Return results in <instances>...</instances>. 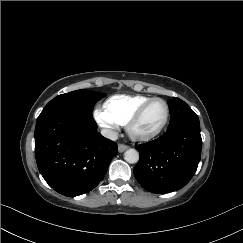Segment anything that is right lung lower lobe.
Segmentation results:
<instances>
[{
	"label": "right lung lower lobe",
	"instance_id": "obj_1",
	"mask_svg": "<svg viewBox=\"0 0 243 243\" xmlns=\"http://www.w3.org/2000/svg\"><path fill=\"white\" fill-rule=\"evenodd\" d=\"M117 151L115 142L97 132V124L90 115L58 110L37 118L38 169L62 195L74 197L94 189Z\"/></svg>",
	"mask_w": 243,
	"mask_h": 243
}]
</instances>
